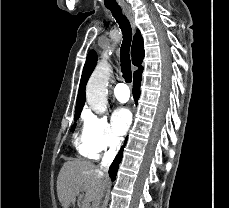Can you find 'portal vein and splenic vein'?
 Wrapping results in <instances>:
<instances>
[{"instance_id":"18ae733b","label":"portal vein and splenic vein","mask_w":229,"mask_h":208,"mask_svg":"<svg viewBox=\"0 0 229 208\" xmlns=\"http://www.w3.org/2000/svg\"><path fill=\"white\" fill-rule=\"evenodd\" d=\"M84 208H90L89 204H86V202H85Z\"/></svg>"}]
</instances>
